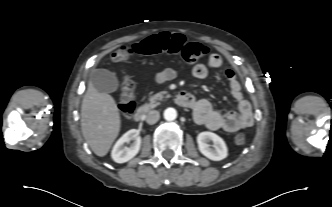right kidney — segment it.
Returning a JSON list of instances; mask_svg holds the SVG:
<instances>
[{"mask_svg":"<svg viewBox=\"0 0 332 207\" xmlns=\"http://www.w3.org/2000/svg\"><path fill=\"white\" fill-rule=\"evenodd\" d=\"M133 139L134 142L126 147L124 144ZM141 146V138L139 132L136 129L127 131L114 145L111 157L117 163H125L135 157Z\"/></svg>","mask_w":332,"mask_h":207,"instance_id":"obj_1","label":"right kidney"}]
</instances>
